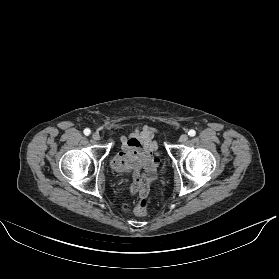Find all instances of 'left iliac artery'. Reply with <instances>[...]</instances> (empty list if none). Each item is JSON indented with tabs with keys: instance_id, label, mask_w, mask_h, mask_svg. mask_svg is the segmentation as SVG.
Returning a JSON list of instances; mask_svg holds the SVG:
<instances>
[{
	"instance_id": "left-iliac-artery-1",
	"label": "left iliac artery",
	"mask_w": 279,
	"mask_h": 279,
	"mask_svg": "<svg viewBox=\"0 0 279 279\" xmlns=\"http://www.w3.org/2000/svg\"><path fill=\"white\" fill-rule=\"evenodd\" d=\"M195 134H196V132H195V130H193V129H191V130L188 132V135H189L190 137L195 136Z\"/></svg>"
}]
</instances>
